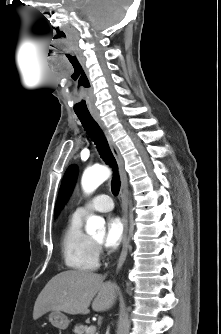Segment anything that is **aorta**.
Wrapping results in <instances>:
<instances>
[{
    "instance_id": "obj_1",
    "label": "aorta",
    "mask_w": 221,
    "mask_h": 334,
    "mask_svg": "<svg viewBox=\"0 0 221 334\" xmlns=\"http://www.w3.org/2000/svg\"><path fill=\"white\" fill-rule=\"evenodd\" d=\"M111 175L110 170L104 166L91 167L84 171L81 185L85 193H92ZM88 234H105V220L96 215H90L86 223Z\"/></svg>"
}]
</instances>
